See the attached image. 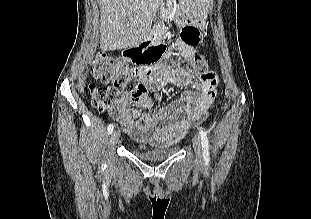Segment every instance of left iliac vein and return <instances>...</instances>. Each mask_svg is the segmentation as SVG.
<instances>
[{"instance_id": "1", "label": "left iliac vein", "mask_w": 311, "mask_h": 219, "mask_svg": "<svg viewBox=\"0 0 311 219\" xmlns=\"http://www.w3.org/2000/svg\"><path fill=\"white\" fill-rule=\"evenodd\" d=\"M192 141H193V147L195 150L196 161L198 163H201L203 159V150H202L201 140L197 135H195Z\"/></svg>"}]
</instances>
